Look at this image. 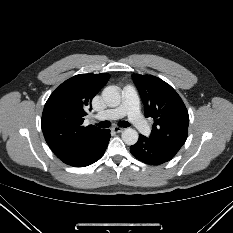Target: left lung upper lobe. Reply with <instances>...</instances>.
Masks as SVG:
<instances>
[{"label": "left lung upper lobe", "instance_id": "left-lung-upper-lobe-1", "mask_svg": "<svg viewBox=\"0 0 233 233\" xmlns=\"http://www.w3.org/2000/svg\"><path fill=\"white\" fill-rule=\"evenodd\" d=\"M145 107V115L154 118L149 140L159 146L174 150L187 139L188 111L177 92L166 82L150 75L133 74Z\"/></svg>", "mask_w": 233, "mask_h": 233}]
</instances>
